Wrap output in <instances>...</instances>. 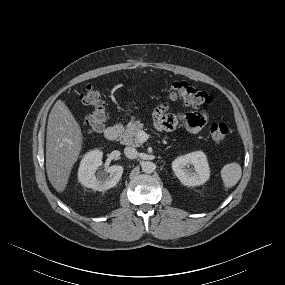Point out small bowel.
I'll return each mask as SVG.
<instances>
[{
	"label": "small bowel",
	"instance_id": "c3829d8e",
	"mask_svg": "<svg viewBox=\"0 0 285 285\" xmlns=\"http://www.w3.org/2000/svg\"><path fill=\"white\" fill-rule=\"evenodd\" d=\"M155 124L164 130H172L178 125L191 133L200 132L207 124L208 115L204 111H192L186 114L168 112L167 105H161L154 111Z\"/></svg>",
	"mask_w": 285,
	"mask_h": 285
}]
</instances>
